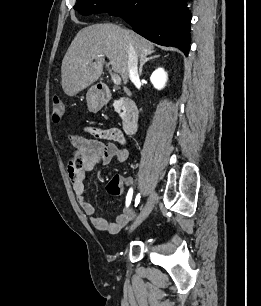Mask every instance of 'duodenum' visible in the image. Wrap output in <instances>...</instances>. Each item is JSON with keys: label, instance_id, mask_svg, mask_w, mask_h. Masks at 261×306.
<instances>
[{"label": "duodenum", "instance_id": "duodenum-1", "mask_svg": "<svg viewBox=\"0 0 261 306\" xmlns=\"http://www.w3.org/2000/svg\"><path fill=\"white\" fill-rule=\"evenodd\" d=\"M96 95L101 101H109L111 91L106 84H99L96 88ZM124 115L122 119V128L126 134H133L139 121V109L135 102L129 98H123Z\"/></svg>", "mask_w": 261, "mask_h": 306}]
</instances>
